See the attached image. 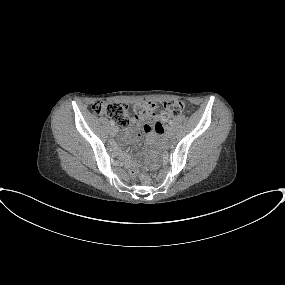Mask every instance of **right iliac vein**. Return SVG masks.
<instances>
[{
    "mask_svg": "<svg viewBox=\"0 0 285 285\" xmlns=\"http://www.w3.org/2000/svg\"><path fill=\"white\" fill-rule=\"evenodd\" d=\"M109 132H110V135H111V136H115V135L117 134V132H118V128L115 127V126H112V127L110 128Z\"/></svg>",
    "mask_w": 285,
    "mask_h": 285,
    "instance_id": "63e3f726",
    "label": "right iliac vein"
}]
</instances>
